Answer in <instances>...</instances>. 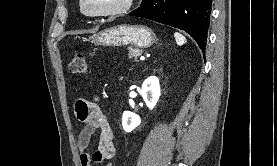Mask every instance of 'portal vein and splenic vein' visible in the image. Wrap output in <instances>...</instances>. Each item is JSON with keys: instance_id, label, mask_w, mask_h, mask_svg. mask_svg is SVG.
<instances>
[{"instance_id": "18ae733b", "label": "portal vein and splenic vein", "mask_w": 277, "mask_h": 166, "mask_svg": "<svg viewBox=\"0 0 277 166\" xmlns=\"http://www.w3.org/2000/svg\"><path fill=\"white\" fill-rule=\"evenodd\" d=\"M144 59H145V57H144V56H141V57H140V60H144Z\"/></svg>"}]
</instances>
